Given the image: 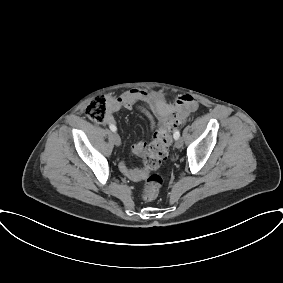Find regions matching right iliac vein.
I'll return each instance as SVG.
<instances>
[{"label":"right iliac vein","mask_w":283,"mask_h":283,"mask_svg":"<svg viewBox=\"0 0 283 283\" xmlns=\"http://www.w3.org/2000/svg\"><path fill=\"white\" fill-rule=\"evenodd\" d=\"M112 139L116 146H119L121 144V138L117 133H113Z\"/></svg>","instance_id":"right-iliac-vein-1"}]
</instances>
